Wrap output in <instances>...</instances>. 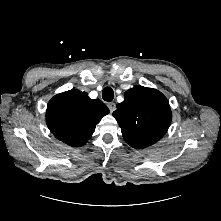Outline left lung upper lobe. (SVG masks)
I'll return each instance as SVG.
<instances>
[{
  "label": "left lung upper lobe",
  "instance_id": "left-lung-upper-lobe-1",
  "mask_svg": "<svg viewBox=\"0 0 221 221\" xmlns=\"http://www.w3.org/2000/svg\"><path fill=\"white\" fill-rule=\"evenodd\" d=\"M113 116L125 141L136 149L156 143L167 132L171 110L167 98L158 90L140 85L127 90Z\"/></svg>",
  "mask_w": 221,
  "mask_h": 221
}]
</instances>
